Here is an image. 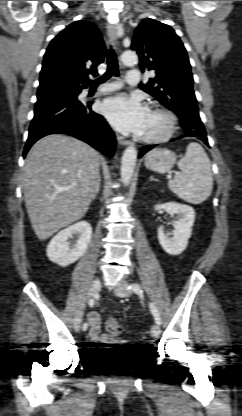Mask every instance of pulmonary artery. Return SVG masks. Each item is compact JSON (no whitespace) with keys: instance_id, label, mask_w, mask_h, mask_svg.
I'll return each instance as SVG.
<instances>
[{"instance_id":"1","label":"pulmonary artery","mask_w":242,"mask_h":416,"mask_svg":"<svg viewBox=\"0 0 242 416\" xmlns=\"http://www.w3.org/2000/svg\"><path fill=\"white\" fill-rule=\"evenodd\" d=\"M140 70L138 69H131L128 71L126 76V82L129 85H137L140 81ZM119 89V82H113L109 85L100 87L97 92L98 93H110L114 92Z\"/></svg>"}]
</instances>
